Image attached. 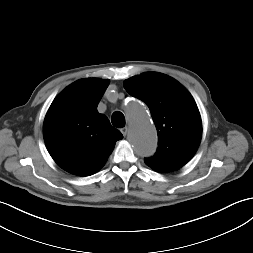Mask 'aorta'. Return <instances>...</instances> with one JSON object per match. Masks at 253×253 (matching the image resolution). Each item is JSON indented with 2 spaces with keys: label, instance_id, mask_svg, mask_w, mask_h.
<instances>
[{
  "label": "aorta",
  "instance_id": "aorta-1",
  "mask_svg": "<svg viewBox=\"0 0 253 253\" xmlns=\"http://www.w3.org/2000/svg\"><path fill=\"white\" fill-rule=\"evenodd\" d=\"M130 122L129 139L134 150L143 157L155 153L157 134L147 110L138 102L130 101L126 106Z\"/></svg>",
  "mask_w": 253,
  "mask_h": 253
}]
</instances>
